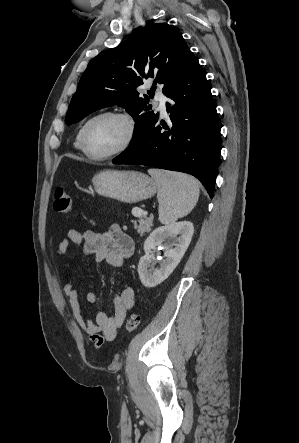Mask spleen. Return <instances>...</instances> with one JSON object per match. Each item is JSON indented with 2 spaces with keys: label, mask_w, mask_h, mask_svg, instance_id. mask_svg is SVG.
<instances>
[{
  "label": "spleen",
  "mask_w": 299,
  "mask_h": 443,
  "mask_svg": "<svg viewBox=\"0 0 299 443\" xmlns=\"http://www.w3.org/2000/svg\"><path fill=\"white\" fill-rule=\"evenodd\" d=\"M148 173L158 185L159 220L162 224H172L191 212L200 193L194 178L158 169H150Z\"/></svg>",
  "instance_id": "1"
}]
</instances>
